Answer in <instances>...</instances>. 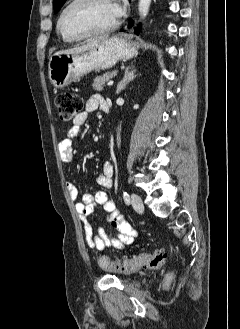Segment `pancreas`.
Here are the masks:
<instances>
[{"mask_svg":"<svg viewBox=\"0 0 240 329\" xmlns=\"http://www.w3.org/2000/svg\"><path fill=\"white\" fill-rule=\"evenodd\" d=\"M117 72L113 71V72H109L104 74L103 76H97L94 79V83H93V89H95L96 91H102L103 90V86L105 85V83L113 78L114 76H116Z\"/></svg>","mask_w":240,"mask_h":329,"instance_id":"cf45deb5","label":"pancreas"}]
</instances>
